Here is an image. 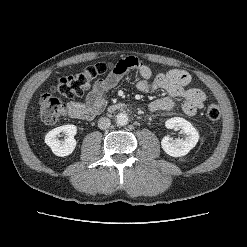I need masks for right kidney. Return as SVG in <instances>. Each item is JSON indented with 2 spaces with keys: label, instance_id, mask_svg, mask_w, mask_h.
I'll return each instance as SVG.
<instances>
[{
  "label": "right kidney",
  "instance_id": "1",
  "mask_svg": "<svg viewBox=\"0 0 247 247\" xmlns=\"http://www.w3.org/2000/svg\"><path fill=\"white\" fill-rule=\"evenodd\" d=\"M62 132L65 133L66 138L61 143L57 137ZM76 133L77 127L72 124L56 127L46 134L45 143L51 148L56 156L65 157L70 155L76 147L77 142L74 138Z\"/></svg>",
  "mask_w": 247,
  "mask_h": 247
}]
</instances>
